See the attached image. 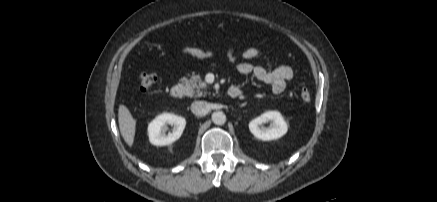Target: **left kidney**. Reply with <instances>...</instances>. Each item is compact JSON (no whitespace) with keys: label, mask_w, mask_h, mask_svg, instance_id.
Instances as JSON below:
<instances>
[{"label":"left kidney","mask_w":437,"mask_h":202,"mask_svg":"<svg viewBox=\"0 0 437 202\" xmlns=\"http://www.w3.org/2000/svg\"><path fill=\"white\" fill-rule=\"evenodd\" d=\"M270 122L269 128L262 124ZM250 132L263 141L274 140L287 133L288 126L282 115L277 111H267L249 122Z\"/></svg>","instance_id":"5707ae66"}]
</instances>
